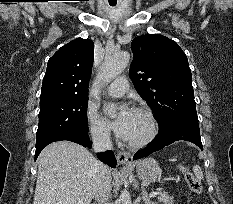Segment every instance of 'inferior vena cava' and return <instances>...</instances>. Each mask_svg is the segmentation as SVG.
<instances>
[{
	"instance_id": "1",
	"label": "inferior vena cava",
	"mask_w": 233,
	"mask_h": 204,
	"mask_svg": "<svg viewBox=\"0 0 233 204\" xmlns=\"http://www.w3.org/2000/svg\"><path fill=\"white\" fill-rule=\"evenodd\" d=\"M93 148L95 152H104L106 150H111L113 148L112 142L110 140V133L107 131H98L92 135ZM111 192V177L108 172H106L103 180L99 184L95 198L98 200V204H110L108 199Z\"/></svg>"
}]
</instances>
